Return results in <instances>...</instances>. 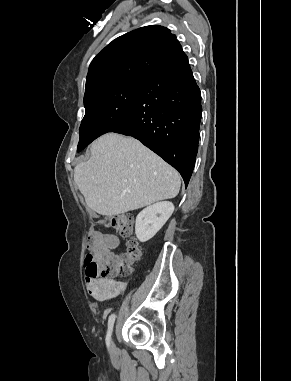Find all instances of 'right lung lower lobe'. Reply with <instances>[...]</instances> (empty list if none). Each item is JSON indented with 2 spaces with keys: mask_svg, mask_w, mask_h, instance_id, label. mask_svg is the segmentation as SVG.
<instances>
[{
  "mask_svg": "<svg viewBox=\"0 0 291 381\" xmlns=\"http://www.w3.org/2000/svg\"><path fill=\"white\" fill-rule=\"evenodd\" d=\"M201 116L200 89L182 53L144 80L130 119L112 132L138 139L177 169L187 186L198 151Z\"/></svg>",
  "mask_w": 291,
  "mask_h": 381,
  "instance_id": "obj_1",
  "label": "right lung lower lobe"
}]
</instances>
